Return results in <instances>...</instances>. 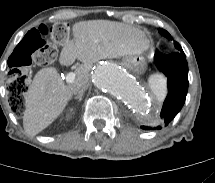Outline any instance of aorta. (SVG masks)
I'll return each mask as SVG.
<instances>
[{
    "label": "aorta",
    "mask_w": 215,
    "mask_h": 183,
    "mask_svg": "<svg viewBox=\"0 0 215 183\" xmlns=\"http://www.w3.org/2000/svg\"><path fill=\"white\" fill-rule=\"evenodd\" d=\"M91 81L101 92L125 102L135 114L147 116L152 112L151 101L142 86L117 65L96 66L92 71Z\"/></svg>",
    "instance_id": "obj_1"
}]
</instances>
